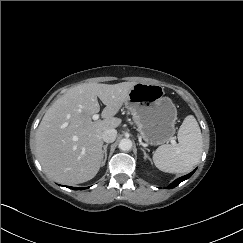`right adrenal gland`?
<instances>
[{
    "label": "right adrenal gland",
    "mask_w": 243,
    "mask_h": 243,
    "mask_svg": "<svg viewBox=\"0 0 243 243\" xmlns=\"http://www.w3.org/2000/svg\"><path fill=\"white\" fill-rule=\"evenodd\" d=\"M107 147H108V144H105L103 146V150H102V163H101V166L103 167L106 163V160H107Z\"/></svg>",
    "instance_id": "obj_1"
}]
</instances>
